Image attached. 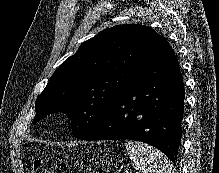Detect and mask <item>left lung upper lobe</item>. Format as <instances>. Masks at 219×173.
Returning <instances> with one entry per match:
<instances>
[{
    "instance_id": "left-lung-upper-lobe-1",
    "label": "left lung upper lobe",
    "mask_w": 219,
    "mask_h": 173,
    "mask_svg": "<svg viewBox=\"0 0 219 173\" xmlns=\"http://www.w3.org/2000/svg\"><path fill=\"white\" fill-rule=\"evenodd\" d=\"M165 40L137 24L101 31L54 72L36 99L33 123L63 112L71 117L73 135H86L137 82L139 68Z\"/></svg>"
}]
</instances>
